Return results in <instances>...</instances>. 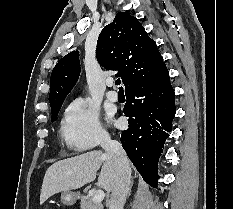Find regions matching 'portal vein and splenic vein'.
Segmentation results:
<instances>
[{"label": "portal vein and splenic vein", "mask_w": 233, "mask_h": 209, "mask_svg": "<svg viewBox=\"0 0 233 209\" xmlns=\"http://www.w3.org/2000/svg\"><path fill=\"white\" fill-rule=\"evenodd\" d=\"M104 197H105L104 191L101 190V189H98V190L95 191L92 200L94 202H102Z\"/></svg>", "instance_id": "obj_1"}]
</instances>
